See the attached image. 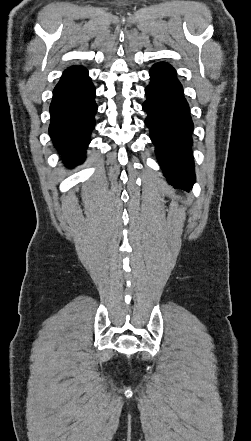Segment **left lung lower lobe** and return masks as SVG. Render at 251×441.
Here are the masks:
<instances>
[{
	"mask_svg": "<svg viewBox=\"0 0 251 441\" xmlns=\"http://www.w3.org/2000/svg\"><path fill=\"white\" fill-rule=\"evenodd\" d=\"M143 109L145 124L155 145L158 162L168 182L177 189H191L195 182L191 151L193 122L183 87L174 68L156 63L150 70Z\"/></svg>",
	"mask_w": 251,
	"mask_h": 441,
	"instance_id": "1",
	"label": "left lung lower lobe"
}]
</instances>
